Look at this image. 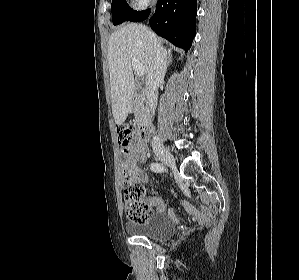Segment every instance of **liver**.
<instances>
[{"label":"liver","instance_id":"1","mask_svg":"<svg viewBox=\"0 0 299 280\" xmlns=\"http://www.w3.org/2000/svg\"><path fill=\"white\" fill-rule=\"evenodd\" d=\"M154 42L166 51L148 27L136 23L119 28L109 38L108 66L112 113L117 125L124 123L132 108L136 89L132 61L140 62L148 72L153 59Z\"/></svg>","mask_w":299,"mask_h":280}]
</instances>
